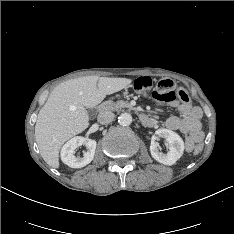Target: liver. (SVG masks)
<instances>
[{"mask_svg": "<svg viewBox=\"0 0 234 234\" xmlns=\"http://www.w3.org/2000/svg\"><path fill=\"white\" fill-rule=\"evenodd\" d=\"M130 83L128 78L84 76L57 86L39 111L35 125V140L44 161L58 168L61 146L89 126L86 109Z\"/></svg>", "mask_w": 234, "mask_h": 234, "instance_id": "6515ba94", "label": "liver"}]
</instances>
